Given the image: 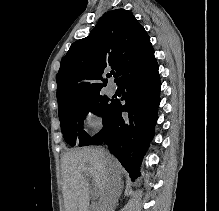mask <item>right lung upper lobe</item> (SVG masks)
<instances>
[{"mask_svg":"<svg viewBox=\"0 0 219 211\" xmlns=\"http://www.w3.org/2000/svg\"><path fill=\"white\" fill-rule=\"evenodd\" d=\"M153 57L150 38L131 12H107L90 35L74 42L62 59L56 76L58 105L100 94L107 84V71H115L118 84Z\"/></svg>","mask_w":219,"mask_h":211,"instance_id":"1","label":"right lung upper lobe"}]
</instances>
